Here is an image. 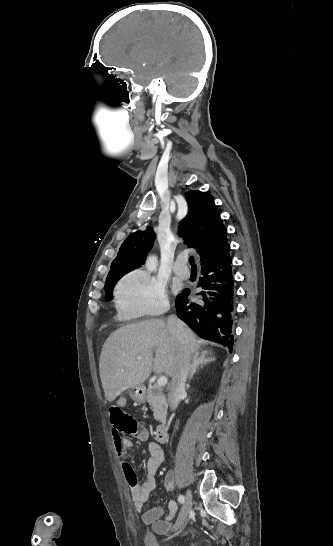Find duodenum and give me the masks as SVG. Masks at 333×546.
Listing matches in <instances>:
<instances>
[{
	"instance_id": "410a0bca",
	"label": "duodenum",
	"mask_w": 333,
	"mask_h": 546,
	"mask_svg": "<svg viewBox=\"0 0 333 546\" xmlns=\"http://www.w3.org/2000/svg\"><path fill=\"white\" fill-rule=\"evenodd\" d=\"M155 436L157 442L160 444H166L169 441V430L166 425H160L156 428Z\"/></svg>"
}]
</instances>
